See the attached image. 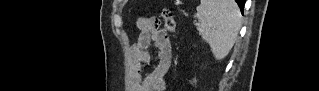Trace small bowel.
Returning <instances> with one entry per match:
<instances>
[{"label":"small bowel","instance_id":"1","mask_svg":"<svg viewBox=\"0 0 319 91\" xmlns=\"http://www.w3.org/2000/svg\"><path fill=\"white\" fill-rule=\"evenodd\" d=\"M139 37L131 48L134 60L132 89L133 91H164L166 90V75L172 63V46L169 34L161 28L154 18H140L137 21ZM156 48V63L152 70L142 75L144 63L150 61L149 48Z\"/></svg>","mask_w":319,"mask_h":91}]
</instances>
